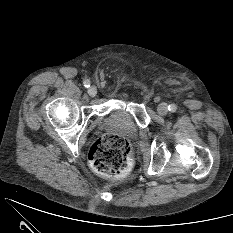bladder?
<instances>
[{"label": "bladder", "mask_w": 233, "mask_h": 233, "mask_svg": "<svg viewBox=\"0 0 233 233\" xmlns=\"http://www.w3.org/2000/svg\"><path fill=\"white\" fill-rule=\"evenodd\" d=\"M136 131V127L134 126L133 128H132V133H134Z\"/></svg>", "instance_id": "obj_1"}]
</instances>
